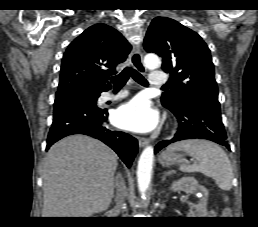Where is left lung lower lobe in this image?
Here are the masks:
<instances>
[{
	"mask_svg": "<svg viewBox=\"0 0 258 227\" xmlns=\"http://www.w3.org/2000/svg\"><path fill=\"white\" fill-rule=\"evenodd\" d=\"M168 109L174 113L180 125L172 139L156 145L155 153L171 143L192 138L208 139L230 149L218 99L194 98L178 108Z\"/></svg>",
	"mask_w": 258,
	"mask_h": 227,
	"instance_id": "left-lung-lower-lobe-1",
	"label": "left lung lower lobe"
}]
</instances>
